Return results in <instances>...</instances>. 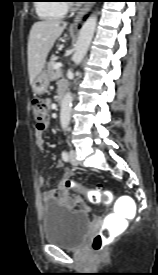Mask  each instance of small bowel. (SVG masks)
Masks as SVG:
<instances>
[{
	"mask_svg": "<svg viewBox=\"0 0 158 275\" xmlns=\"http://www.w3.org/2000/svg\"><path fill=\"white\" fill-rule=\"evenodd\" d=\"M67 87L64 82H60L58 85V88ZM43 132L35 130V137H36V145L38 148H40L42 151L45 149V140L43 138ZM64 165L63 160H59L57 162L58 167H62ZM71 178V170H66L63 174V180L59 182L56 187L53 189L45 190L42 193V199L45 203L55 202L59 201L63 203L64 205L72 208H77L81 211H88L89 207L87 203L78 195L74 194V196H71V192L69 189L66 188L65 181L67 179ZM46 183V178L40 177L39 178V184L44 185Z\"/></svg>",
	"mask_w": 158,
	"mask_h": 275,
	"instance_id": "obj_1",
	"label": "small bowel"
}]
</instances>
